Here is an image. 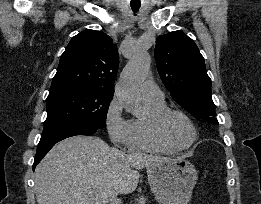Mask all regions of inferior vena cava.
Instances as JSON below:
<instances>
[{"mask_svg": "<svg viewBox=\"0 0 261 204\" xmlns=\"http://www.w3.org/2000/svg\"><path fill=\"white\" fill-rule=\"evenodd\" d=\"M110 204H121V200L117 199V195H113L110 200Z\"/></svg>", "mask_w": 261, "mask_h": 204, "instance_id": "1", "label": "inferior vena cava"}]
</instances>
